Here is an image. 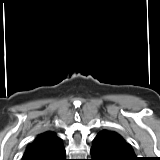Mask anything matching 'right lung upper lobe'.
I'll return each mask as SVG.
<instances>
[{
    "mask_svg": "<svg viewBox=\"0 0 160 160\" xmlns=\"http://www.w3.org/2000/svg\"><path fill=\"white\" fill-rule=\"evenodd\" d=\"M62 148V140L55 133L47 131L27 146L22 160H44Z\"/></svg>",
    "mask_w": 160,
    "mask_h": 160,
    "instance_id": "1",
    "label": "right lung upper lobe"
}]
</instances>
